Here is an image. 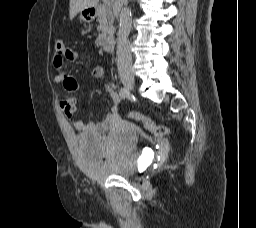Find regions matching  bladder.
<instances>
[{"label":"bladder","mask_w":256,"mask_h":228,"mask_svg":"<svg viewBox=\"0 0 256 228\" xmlns=\"http://www.w3.org/2000/svg\"><path fill=\"white\" fill-rule=\"evenodd\" d=\"M136 129L115 131L108 138L83 134L76 138V150L89 174L95 178H127L137 170Z\"/></svg>","instance_id":"31cf9c89"}]
</instances>
